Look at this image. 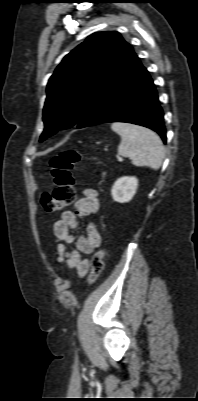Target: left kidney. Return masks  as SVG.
<instances>
[{
	"instance_id": "5707ae66",
	"label": "left kidney",
	"mask_w": 198,
	"mask_h": 401,
	"mask_svg": "<svg viewBox=\"0 0 198 401\" xmlns=\"http://www.w3.org/2000/svg\"><path fill=\"white\" fill-rule=\"evenodd\" d=\"M138 179L136 177H121L114 183L111 194L114 201L129 202L136 194Z\"/></svg>"
}]
</instances>
